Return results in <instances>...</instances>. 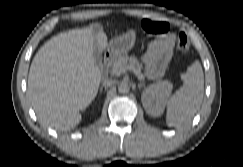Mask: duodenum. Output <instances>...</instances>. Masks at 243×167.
Masks as SVG:
<instances>
[{"instance_id":"duodenum-1","label":"duodenum","mask_w":243,"mask_h":167,"mask_svg":"<svg viewBox=\"0 0 243 167\" xmlns=\"http://www.w3.org/2000/svg\"><path fill=\"white\" fill-rule=\"evenodd\" d=\"M113 58V53L112 52H107L104 56V63L101 65V72L102 74L105 73L106 67L108 65V63L111 61V59Z\"/></svg>"}]
</instances>
